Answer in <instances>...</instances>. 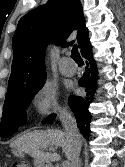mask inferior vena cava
Masks as SVG:
<instances>
[{
    "label": "inferior vena cava",
    "instance_id": "inferior-vena-cava-1",
    "mask_svg": "<svg viewBox=\"0 0 125 167\" xmlns=\"http://www.w3.org/2000/svg\"><path fill=\"white\" fill-rule=\"evenodd\" d=\"M60 120L73 145L70 167H80L81 136L76 120L67 110L61 111Z\"/></svg>",
    "mask_w": 125,
    "mask_h": 167
}]
</instances>
